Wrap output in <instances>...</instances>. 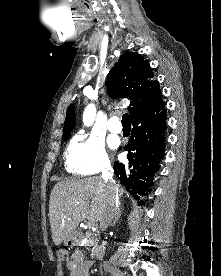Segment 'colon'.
<instances>
[{
	"mask_svg": "<svg viewBox=\"0 0 221 276\" xmlns=\"http://www.w3.org/2000/svg\"><path fill=\"white\" fill-rule=\"evenodd\" d=\"M58 259L62 262H68L70 259L68 251L59 250L58 251Z\"/></svg>",
	"mask_w": 221,
	"mask_h": 276,
	"instance_id": "obj_1",
	"label": "colon"
}]
</instances>
